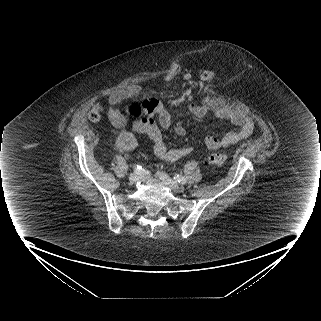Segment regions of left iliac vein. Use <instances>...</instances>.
<instances>
[{
  "mask_svg": "<svg viewBox=\"0 0 321 321\" xmlns=\"http://www.w3.org/2000/svg\"><path fill=\"white\" fill-rule=\"evenodd\" d=\"M158 176L160 178V180L166 184L171 190L178 192L180 190V186L179 184L174 181L173 179H171L166 173L164 172H158Z\"/></svg>",
  "mask_w": 321,
  "mask_h": 321,
  "instance_id": "left-iliac-vein-1",
  "label": "left iliac vein"
}]
</instances>
